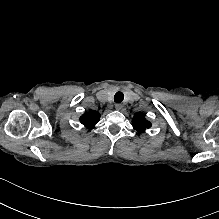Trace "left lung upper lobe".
<instances>
[{"mask_svg":"<svg viewBox=\"0 0 219 219\" xmlns=\"http://www.w3.org/2000/svg\"><path fill=\"white\" fill-rule=\"evenodd\" d=\"M132 125L133 128L139 133L151 127V123L145 119V115L142 113H137L134 115Z\"/></svg>","mask_w":219,"mask_h":219,"instance_id":"5c2ea615","label":"left lung upper lobe"}]
</instances>
